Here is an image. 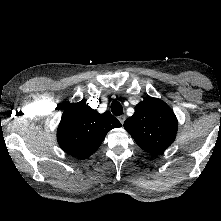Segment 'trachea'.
<instances>
[{"label": "trachea", "instance_id": "obj_1", "mask_svg": "<svg viewBox=\"0 0 221 221\" xmlns=\"http://www.w3.org/2000/svg\"><path fill=\"white\" fill-rule=\"evenodd\" d=\"M111 111L114 115L116 116H119V115H122L123 113V107L121 105L120 102L114 100L112 103H111Z\"/></svg>", "mask_w": 221, "mask_h": 221}]
</instances>
